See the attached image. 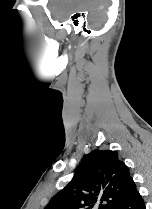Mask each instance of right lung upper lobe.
<instances>
[{"label": "right lung upper lobe", "mask_w": 152, "mask_h": 209, "mask_svg": "<svg viewBox=\"0 0 152 209\" xmlns=\"http://www.w3.org/2000/svg\"><path fill=\"white\" fill-rule=\"evenodd\" d=\"M135 188L129 168L118 158V152L93 150L45 209H113Z\"/></svg>", "instance_id": "cb5924a9"}]
</instances>
